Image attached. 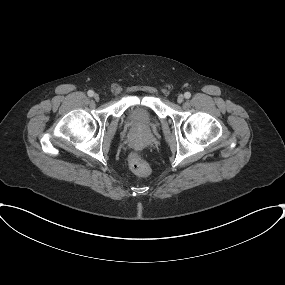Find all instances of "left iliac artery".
Instances as JSON below:
<instances>
[{
	"instance_id": "left-iliac-artery-1",
	"label": "left iliac artery",
	"mask_w": 285,
	"mask_h": 285,
	"mask_svg": "<svg viewBox=\"0 0 285 285\" xmlns=\"http://www.w3.org/2000/svg\"><path fill=\"white\" fill-rule=\"evenodd\" d=\"M184 96H185L186 99H189V98L191 97V94H190V92H186V93L184 94Z\"/></svg>"
}]
</instances>
